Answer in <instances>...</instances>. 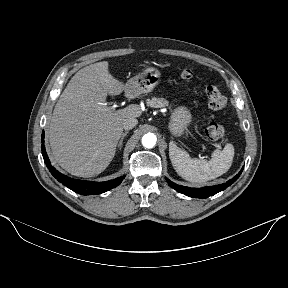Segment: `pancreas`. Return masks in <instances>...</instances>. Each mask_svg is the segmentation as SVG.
<instances>
[{
    "mask_svg": "<svg viewBox=\"0 0 288 288\" xmlns=\"http://www.w3.org/2000/svg\"><path fill=\"white\" fill-rule=\"evenodd\" d=\"M147 106L153 107V108H164L168 106V101L163 98H152L147 99Z\"/></svg>",
    "mask_w": 288,
    "mask_h": 288,
    "instance_id": "obj_1",
    "label": "pancreas"
}]
</instances>
